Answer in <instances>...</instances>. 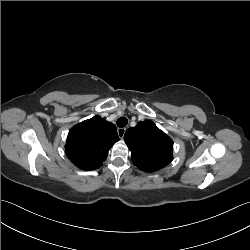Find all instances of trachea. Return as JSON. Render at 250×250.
I'll return each mask as SVG.
<instances>
[{
  "label": "trachea",
  "mask_w": 250,
  "mask_h": 250,
  "mask_svg": "<svg viewBox=\"0 0 250 250\" xmlns=\"http://www.w3.org/2000/svg\"><path fill=\"white\" fill-rule=\"evenodd\" d=\"M116 123H117V126H118V127L123 128V127H125V126L127 125L128 120H127V118H125V117H120V118L117 120Z\"/></svg>",
  "instance_id": "3493384b"
}]
</instances>
